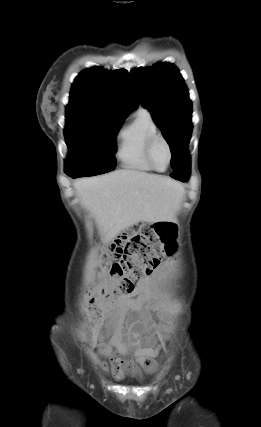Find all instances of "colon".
<instances>
[{"label":"colon","mask_w":261,"mask_h":427,"mask_svg":"<svg viewBox=\"0 0 261 427\" xmlns=\"http://www.w3.org/2000/svg\"><path fill=\"white\" fill-rule=\"evenodd\" d=\"M174 237L175 229L170 223L143 226L121 249V260L113 264L111 275L116 278V284L113 290L106 293L107 297L130 294L139 278L157 266L164 256L174 253ZM88 309L95 316L101 315L94 298L90 299Z\"/></svg>","instance_id":"colon-1"}]
</instances>
